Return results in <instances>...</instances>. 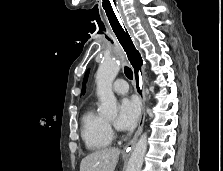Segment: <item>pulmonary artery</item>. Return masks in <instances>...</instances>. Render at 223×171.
Listing matches in <instances>:
<instances>
[{
  "label": "pulmonary artery",
  "mask_w": 223,
  "mask_h": 171,
  "mask_svg": "<svg viewBox=\"0 0 223 171\" xmlns=\"http://www.w3.org/2000/svg\"><path fill=\"white\" fill-rule=\"evenodd\" d=\"M112 88L117 94H125L128 91V84L124 79H117L113 83Z\"/></svg>",
  "instance_id": "e3ab8cb5"
}]
</instances>
